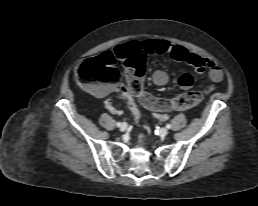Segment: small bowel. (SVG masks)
Instances as JSON below:
<instances>
[{"mask_svg": "<svg viewBox=\"0 0 258 206\" xmlns=\"http://www.w3.org/2000/svg\"><path fill=\"white\" fill-rule=\"evenodd\" d=\"M121 60H128L136 55L169 54L175 61L191 66L197 74L208 71L212 82H220L223 78L222 69L213 60L193 53L180 45H173L164 39H146L144 41H128L115 47L114 52H106ZM152 81L158 86H163L169 81V76L164 70H157L152 75ZM194 82L191 74L185 73L179 78V85L182 89L188 90ZM112 87H104L98 91L99 96H104L113 91ZM107 109L113 114H120V110L113 104V100L108 98L105 102ZM159 120H166L165 113L156 112Z\"/></svg>", "mask_w": 258, "mask_h": 206, "instance_id": "1", "label": "small bowel"}]
</instances>
